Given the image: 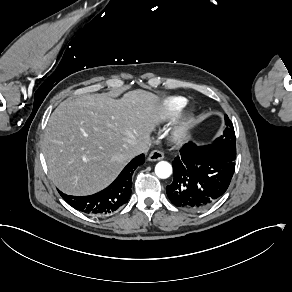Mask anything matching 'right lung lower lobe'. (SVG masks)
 I'll return each instance as SVG.
<instances>
[{
    "mask_svg": "<svg viewBox=\"0 0 292 292\" xmlns=\"http://www.w3.org/2000/svg\"><path fill=\"white\" fill-rule=\"evenodd\" d=\"M145 161L144 154L134 158L106 189L89 196H71L59 191L62 198L75 209L89 215H106L126 204L131 195L134 170Z\"/></svg>",
    "mask_w": 292,
    "mask_h": 292,
    "instance_id": "1",
    "label": "right lung lower lobe"
}]
</instances>
